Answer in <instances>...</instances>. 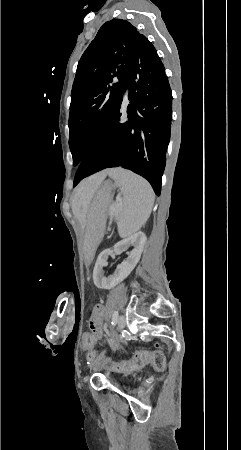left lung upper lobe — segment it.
Instances as JSON below:
<instances>
[{"instance_id":"obj_1","label":"left lung upper lobe","mask_w":241,"mask_h":450,"mask_svg":"<svg viewBox=\"0 0 241 450\" xmlns=\"http://www.w3.org/2000/svg\"><path fill=\"white\" fill-rule=\"evenodd\" d=\"M151 42L129 22L104 23L79 60L71 92L70 148L78 165L100 127L118 107L132 57ZM120 81L112 83L113 78Z\"/></svg>"}]
</instances>
